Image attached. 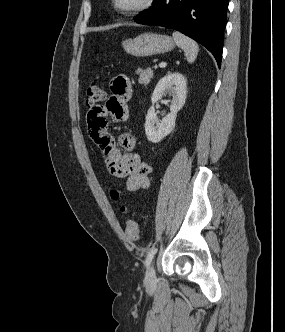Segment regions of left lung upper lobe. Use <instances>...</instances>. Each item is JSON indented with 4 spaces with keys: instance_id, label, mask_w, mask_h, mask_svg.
Masks as SVG:
<instances>
[{
    "instance_id": "left-lung-upper-lobe-1",
    "label": "left lung upper lobe",
    "mask_w": 285,
    "mask_h": 332,
    "mask_svg": "<svg viewBox=\"0 0 285 332\" xmlns=\"http://www.w3.org/2000/svg\"><path fill=\"white\" fill-rule=\"evenodd\" d=\"M161 0H154L153 1V6L151 7L150 10L146 11V12H143L142 14L138 15V17H141L147 13H149L150 11H152L153 9H155L157 7V5L160 3ZM138 17H135V18H138Z\"/></svg>"
}]
</instances>
